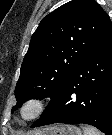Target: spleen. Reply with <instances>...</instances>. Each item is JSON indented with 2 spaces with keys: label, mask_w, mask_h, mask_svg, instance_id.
Returning a JSON list of instances; mask_svg holds the SVG:
<instances>
[{
  "label": "spleen",
  "mask_w": 112,
  "mask_h": 135,
  "mask_svg": "<svg viewBox=\"0 0 112 135\" xmlns=\"http://www.w3.org/2000/svg\"><path fill=\"white\" fill-rule=\"evenodd\" d=\"M83 131L84 135H102L97 129L90 126H84Z\"/></svg>",
  "instance_id": "obj_1"
}]
</instances>
